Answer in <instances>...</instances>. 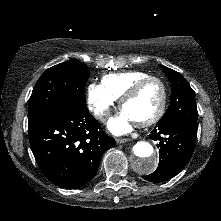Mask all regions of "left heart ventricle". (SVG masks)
Listing matches in <instances>:
<instances>
[{
    "mask_svg": "<svg viewBox=\"0 0 221 221\" xmlns=\"http://www.w3.org/2000/svg\"><path fill=\"white\" fill-rule=\"evenodd\" d=\"M161 97L160 85L155 81H151L125 104L123 112L135 122L146 120L158 110Z\"/></svg>",
    "mask_w": 221,
    "mask_h": 221,
    "instance_id": "b2bd125f",
    "label": "left heart ventricle"
}]
</instances>
